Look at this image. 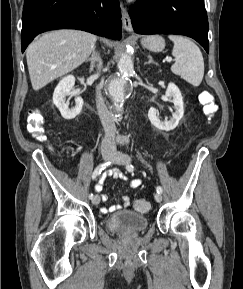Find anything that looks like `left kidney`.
<instances>
[{
	"instance_id": "left-kidney-1",
	"label": "left kidney",
	"mask_w": 243,
	"mask_h": 289,
	"mask_svg": "<svg viewBox=\"0 0 243 289\" xmlns=\"http://www.w3.org/2000/svg\"><path fill=\"white\" fill-rule=\"evenodd\" d=\"M166 96L172 98L174 104L175 112L172 113V118L170 120L161 121L157 116V110L151 107L148 111V118L152 125L160 130L170 131L173 130L181 120L184 114V103L183 97L179 88L174 83H169Z\"/></svg>"
}]
</instances>
